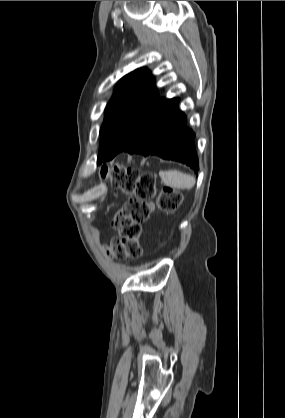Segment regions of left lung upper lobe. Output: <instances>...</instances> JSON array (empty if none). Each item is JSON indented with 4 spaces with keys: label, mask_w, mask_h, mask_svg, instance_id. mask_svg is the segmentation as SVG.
Instances as JSON below:
<instances>
[{
    "label": "left lung upper lobe",
    "mask_w": 285,
    "mask_h": 418,
    "mask_svg": "<svg viewBox=\"0 0 285 418\" xmlns=\"http://www.w3.org/2000/svg\"><path fill=\"white\" fill-rule=\"evenodd\" d=\"M163 100L158 97L154 78L147 69H137L124 76L105 109L97 164L122 152ZM106 150L109 155L99 158Z\"/></svg>",
    "instance_id": "1"
}]
</instances>
